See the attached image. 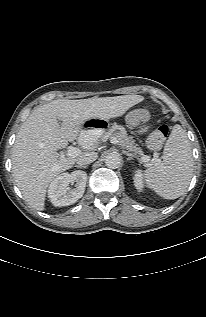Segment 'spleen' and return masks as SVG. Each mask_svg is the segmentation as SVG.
I'll return each instance as SVG.
<instances>
[{
  "label": "spleen",
  "mask_w": 206,
  "mask_h": 317,
  "mask_svg": "<svg viewBox=\"0 0 206 317\" xmlns=\"http://www.w3.org/2000/svg\"><path fill=\"white\" fill-rule=\"evenodd\" d=\"M163 160L145 170L146 185L164 199L183 195L193 174V158L186 132L175 125L164 147Z\"/></svg>",
  "instance_id": "1"
}]
</instances>
